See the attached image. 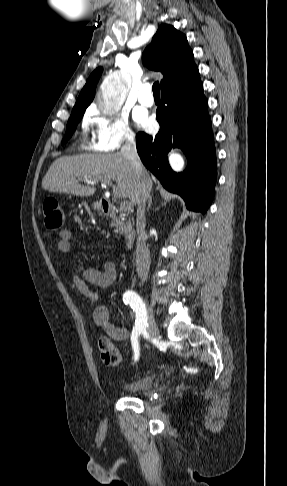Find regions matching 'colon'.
<instances>
[{
	"label": "colon",
	"mask_w": 287,
	"mask_h": 486,
	"mask_svg": "<svg viewBox=\"0 0 287 486\" xmlns=\"http://www.w3.org/2000/svg\"><path fill=\"white\" fill-rule=\"evenodd\" d=\"M43 216L45 226L51 230L60 228L64 221L63 210L56 198L47 197L43 201ZM98 350L102 361L107 366H118L121 363V355L110 338L102 336L98 340Z\"/></svg>",
	"instance_id": "1"
}]
</instances>
